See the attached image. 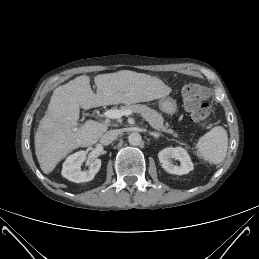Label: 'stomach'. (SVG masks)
Masks as SVG:
<instances>
[{"label":"stomach","mask_w":259,"mask_h":259,"mask_svg":"<svg viewBox=\"0 0 259 259\" xmlns=\"http://www.w3.org/2000/svg\"><path fill=\"white\" fill-rule=\"evenodd\" d=\"M159 106L160 109L167 114H173L177 110L176 101L169 97H162L159 101Z\"/></svg>","instance_id":"stomach-1"}]
</instances>
